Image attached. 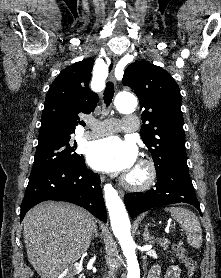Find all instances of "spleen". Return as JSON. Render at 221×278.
<instances>
[{
    "instance_id": "1",
    "label": "spleen",
    "mask_w": 221,
    "mask_h": 278,
    "mask_svg": "<svg viewBox=\"0 0 221 278\" xmlns=\"http://www.w3.org/2000/svg\"><path fill=\"white\" fill-rule=\"evenodd\" d=\"M169 211L187 235V242L193 248H200L203 242L202 229L198 217L191 211L181 207L165 208Z\"/></svg>"
}]
</instances>
